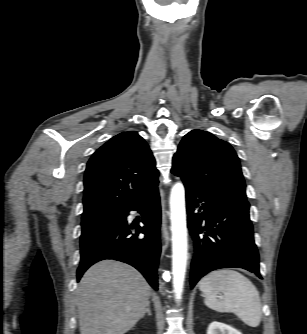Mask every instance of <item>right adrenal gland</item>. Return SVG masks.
<instances>
[{
    "instance_id": "1",
    "label": "right adrenal gland",
    "mask_w": 307,
    "mask_h": 334,
    "mask_svg": "<svg viewBox=\"0 0 307 334\" xmlns=\"http://www.w3.org/2000/svg\"><path fill=\"white\" fill-rule=\"evenodd\" d=\"M145 314H148L149 316L152 315L151 310H150V303H149L148 306L146 307V309H145V311H144V313H143V315H142V318L145 316Z\"/></svg>"
}]
</instances>
